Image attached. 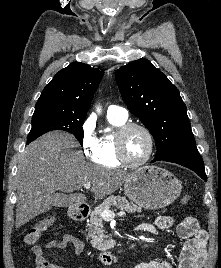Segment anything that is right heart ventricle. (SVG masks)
<instances>
[{
  "label": "right heart ventricle",
  "mask_w": 221,
  "mask_h": 268,
  "mask_svg": "<svg viewBox=\"0 0 221 268\" xmlns=\"http://www.w3.org/2000/svg\"><path fill=\"white\" fill-rule=\"evenodd\" d=\"M108 119L110 124L117 129L126 121L112 117H108ZM93 161L108 168H119L122 166L116 155L115 132L104 134L98 139V148Z\"/></svg>",
  "instance_id": "right-heart-ventricle-1"
}]
</instances>
